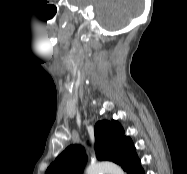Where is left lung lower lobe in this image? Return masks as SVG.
I'll use <instances>...</instances> for the list:
<instances>
[{
	"instance_id": "1",
	"label": "left lung lower lobe",
	"mask_w": 187,
	"mask_h": 174,
	"mask_svg": "<svg viewBox=\"0 0 187 174\" xmlns=\"http://www.w3.org/2000/svg\"><path fill=\"white\" fill-rule=\"evenodd\" d=\"M129 174H144L140 164H137Z\"/></svg>"
}]
</instances>
